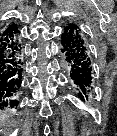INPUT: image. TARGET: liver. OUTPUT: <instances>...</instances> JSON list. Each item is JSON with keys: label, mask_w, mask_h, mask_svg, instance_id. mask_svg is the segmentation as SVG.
Wrapping results in <instances>:
<instances>
[{"label": "liver", "mask_w": 117, "mask_h": 136, "mask_svg": "<svg viewBox=\"0 0 117 136\" xmlns=\"http://www.w3.org/2000/svg\"><path fill=\"white\" fill-rule=\"evenodd\" d=\"M6 115L0 111V122H3Z\"/></svg>", "instance_id": "1"}]
</instances>
